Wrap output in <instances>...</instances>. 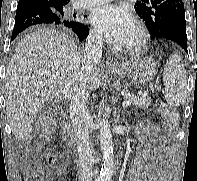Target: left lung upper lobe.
Instances as JSON below:
<instances>
[{"mask_svg": "<svg viewBox=\"0 0 197 181\" xmlns=\"http://www.w3.org/2000/svg\"><path fill=\"white\" fill-rule=\"evenodd\" d=\"M134 8L145 22L151 39L160 38L161 31L167 26L186 22L182 0H141Z\"/></svg>", "mask_w": 197, "mask_h": 181, "instance_id": "5c2ea615", "label": "left lung upper lobe"}]
</instances>
